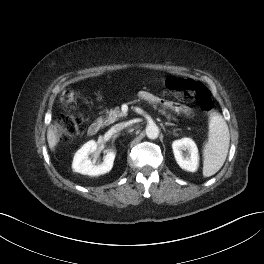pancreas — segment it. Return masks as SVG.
<instances>
[{"mask_svg": "<svg viewBox=\"0 0 264 264\" xmlns=\"http://www.w3.org/2000/svg\"><path fill=\"white\" fill-rule=\"evenodd\" d=\"M156 109V107H154ZM159 113L166 115L164 110H158ZM123 116V113L120 111L119 107H115V109H111L110 111H107V117L105 121L103 122L104 125L108 126L115 121H117L120 117ZM167 118H170V116H167Z\"/></svg>", "mask_w": 264, "mask_h": 264, "instance_id": "cf45deb5", "label": "pancreas"}]
</instances>
